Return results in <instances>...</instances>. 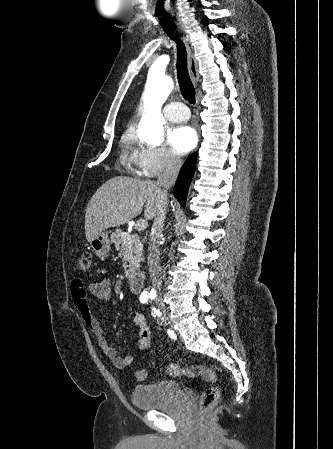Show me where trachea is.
<instances>
[{
  "mask_svg": "<svg viewBox=\"0 0 333 449\" xmlns=\"http://www.w3.org/2000/svg\"><path fill=\"white\" fill-rule=\"evenodd\" d=\"M167 35L177 47V77L182 96L191 104H195V88L187 70V50L175 27H164Z\"/></svg>",
  "mask_w": 333,
  "mask_h": 449,
  "instance_id": "3493384b",
  "label": "trachea"
}]
</instances>
